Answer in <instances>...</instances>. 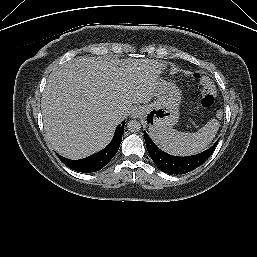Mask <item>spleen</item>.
Returning a JSON list of instances; mask_svg holds the SVG:
<instances>
[{
  "instance_id": "obj_1",
  "label": "spleen",
  "mask_w": 257,
  "mask_h": 257,
  "mask_svg": "<svg viewBox=\"0 0 257 257\" xmlns=\"http://www.w3.org/2000/svg\"><path fill=\"white\" fill-rule=\"evenodd\" d=\"M222 115V111L217 112V118ZM219 126V121L213 118L195 133L160 128L150 131V135L163 151L177 156H189L204 151L214 139Z\"/></svg>"
}]
</instances>
